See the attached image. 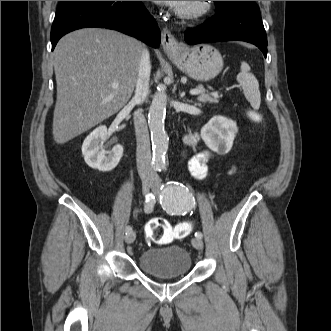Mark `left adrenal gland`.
<instances>
[{
	"instance_id": "a2214340",
	"label": "left adrenal gland",
	"mask_w": 331,
	"mask_h": 331,
	"mask_svg": "<svg viewBox=\"0 0 331 331\" xmlns=\"http://www.w3.org/2000/svg\"><path fill=\"white\" fill-rule=\"evenodd\" d=\"M184 95H185V94H184V93H182V94H181V97H184ZM189 102H192V101H189Z\"/></svg>"
}]
</instances>
